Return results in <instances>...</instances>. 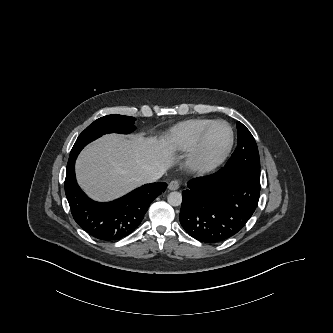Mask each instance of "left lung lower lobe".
I'll return each instance as SVG.
<instances>
[{"label": "left lung lower lobe", "instance_id": "left-lung-lower-lobe-1", "mask_svg": "<svg viewBox=\"0 0 333 333\" xmlns=\"http://www.w3.org/2000/svg\"><path fill=\"white\" fill-rule=\"evenodd\" d=\"M187 185L182 192L180 223L190 236L210 244L238 233L254 213L260 196V180L227 165Z\"/></svg>", "mask_w": 333, "mask_h": 333}]
</instances>
